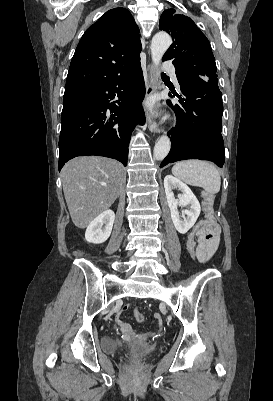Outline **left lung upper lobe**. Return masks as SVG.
I'll use <instances>...</instances> for the list:
<instances>
[{
    "mask_svg": "<svg viewBox=\"0 0 273 401\" xmlns=\"http://www.w3.org/2000/svg\"><path fill=\"white\" fill-rule=\"evenodd\" d=\"M159 29L173 39L163 60H173L176 75L213 78L218 82L210 42L191 18L175 14L173 9L165 10L160 17Z\"/></svg>",
    "mask_w": 273,
    "mask_h": 401,
    "instance_id": "1",
    "label": "left lung upper lobe"
}]
</instances>
